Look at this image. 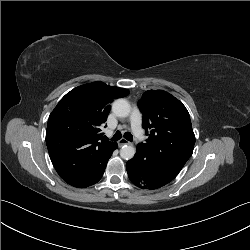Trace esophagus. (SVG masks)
I'll return each mask as SVG.
<instances>
[{
  "label": "esophagus",
  "mask_w": 250,
  "mask_h": 250,
  "mask_svg": "<svg viewBox=\"0 0 250 250\" xmlns=\"http://www.w3.org/2000/svg\"><path fill=\"white\" fill-rule=\"evenodd\" d=\"M130 144V142H128L126 139L122 138L118 141V146L121 147V146H124V145H128Z\"/></svg>",
  "instance_id": "esophagus-1"
}]
</instances>
